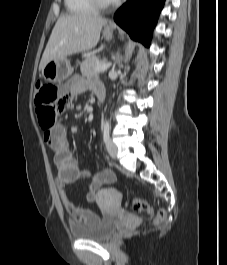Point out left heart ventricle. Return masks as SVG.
<instances>
[{
	"label": "left heart ventricle",
	"mask_w": 227,
	"mask_h": 265,
	"mask_svg": "<svg viewBox=\"0 0 227 265\" xmlns=\"http://www.w3.org/2000/svg\"><path fill=\"white\" fill-rule=\"evenodd\" d=\"M103 1H105V2H111L110 0H103Z\"/></svg>",
	"instance_id": "obj_1"
}]
</instances>
